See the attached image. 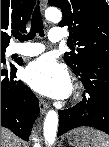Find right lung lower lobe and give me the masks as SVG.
<instances>
[{"instance_id": "98d812e1", "label": "right lung lower lobe", "mask_w": 109, "mask_h": 147, "mask_svg": "<svg viewBox=\"0 0 109 147\" xmlns=\"http://www.w3.org/2000/svg\"><path fill=\"white\" fill-rule=\"evenodd\" d=\"M16 70L11 64L1 65V126L28 141L39 102L28 86L15 79Z\"/></svg>"}]
</instances>
